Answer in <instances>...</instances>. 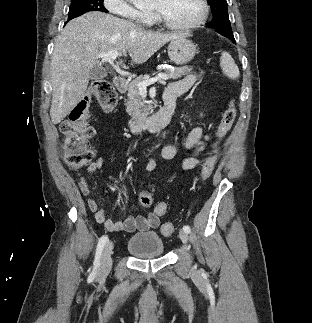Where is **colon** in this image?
Here are the masks:
<instances>
[{
  "label": "colon",
  "mask_w": 312,
  "mask_h": 323,
  "mask_svg": "<svg viewBox=\"0 0 312 323\" xmlns=\"http://www.w3.org/2000/svg\"><path fill=\"white\" fill-rule=\"evenodd\" d=\"M94 94L98 104L104 109L114 108L117 104V94L109 78L100 77L94 82ZM236 102L234 99L228 101L224 111L223 118L215 133V142H219L226 137L231 130L236 118ZM61 132L64 137V148L66 161L71 168H81L87 165L95 156V148L91 143L94 130L82 120L66 119ZM218 155L211 152L205 160L201 169V178L207 180L213 173ZM141 205H149L152 202L150 195L142 194L139 197ZM166 207L165 202H156L154 213H163ZM175 231V225L172 222L164 223L161 226V232L164 235H171Z\"/></svg>",
  "instance_id": "obj_1"
}]
</instances>
